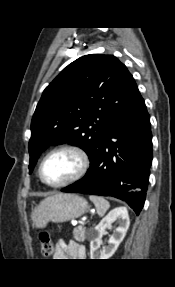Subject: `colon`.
<instances>
[{
    "label": "colon",
    "instance_id": "colon-1",
    "mask_svg": "<svg viewBox=\"0 0 175 287\" xmlns=\"http://www.w3.org/2000/svg\"><path fill=\"white\" fill-rule=\"evenodd\" d=\"M39 241L42 255L45 258H50L54 253V247L49 233L47 231H40Z\"/></svg>",
    "mask_w": 175,
    "mask_h": 287
}]
</instances>
